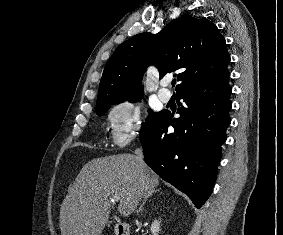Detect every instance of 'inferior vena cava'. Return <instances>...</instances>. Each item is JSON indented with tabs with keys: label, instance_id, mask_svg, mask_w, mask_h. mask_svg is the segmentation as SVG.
<instances>
[{
	"label": "inferior vena cava",
	"instance_id": "inferior-vena-cava-1",
	"mask_svg": "<svg viewBox=\"0 0 283 235\" xmlns=\"http://www.w3.org/2000/svg\"><path fill=\"white\" fill-rule=\"evenodd\" d=\"M135 154H136V160L139 163L140 166L144 165V156H143V151L141 148H137L135 150Z\"/></svg>",
	"mask_w": 283,
	"mask_h": 235
}]
</instances>
